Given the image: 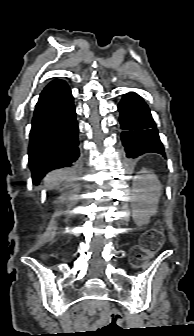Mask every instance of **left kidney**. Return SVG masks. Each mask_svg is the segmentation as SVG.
Wrapping results in <instances>:
<instances>
[{
    "label": "left kidney",
    "mask_w": 194,
    "mask_h": 336,
    "mask_svg": "<svg viewBox=\"0 0 194 336\" xmlns=\"http://www.w3.org/2000/svg\"><path fill=\"white\" fill-rule=\"evenodd\" d=\"M133 178L131 207L132 216L138 225L147 224L152 215L157 212L161 184L157 176L147 170Z\"/></svg>",
    "instance_id": "1"
}]
</instances>
